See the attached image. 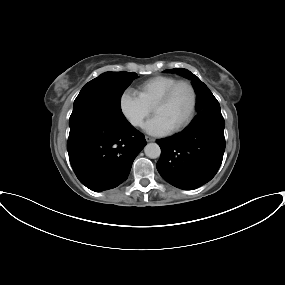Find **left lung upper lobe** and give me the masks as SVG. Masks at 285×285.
I'll use <instances>...</instances> for the list:
<instances>
[{"instance_id":"left-lung-upper-lobe-1","label":"left lung upper lobe","mask_w":285,"mask_h":285,"mask_svg":"<svg viewBox=\"0 0 285 285\" xmlns=\"http://www.w3.org/2000/svg\"><path fill=\"white\" fill-rule=\"evenodd\" d=\"M166 71L175 72L179 75L189 78L192 81L195 92L198 95L196 104L198 115L196 116L194 121L204 116L222 115L220 111V105L217 99L214 97L208 87L196 75L183 68L169 69Z\"/></svg>"}]
</instances>
